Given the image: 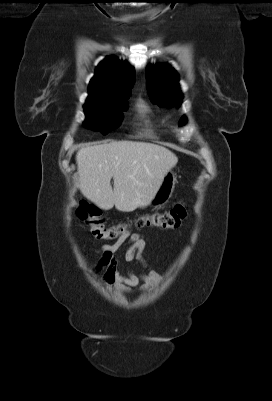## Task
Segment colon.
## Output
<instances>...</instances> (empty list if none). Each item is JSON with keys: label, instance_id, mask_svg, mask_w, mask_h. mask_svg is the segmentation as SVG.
<instances>
[{"label": "colon", "instance_id": "5ec220e1", "mask_svg": "<svg viewBox=\"0 0 272 401\" xmlns=\"http://www.w3.org/2000/svg\"><path fill=\"white\" fill-rule=\"evenodd\" d=\"M187 214L183 203L162 212L146 214L135 220L132 225L136 228L161 227L167 229L179 228ZM78 216L90 227L92 235L99 240H113L127 231V224L107 227L101 210L88 202H81Z\"/></svg>", "mask_w": 272, "mask_h": 401}]
</instances>
